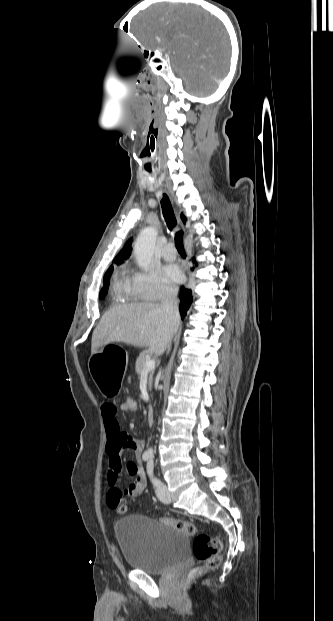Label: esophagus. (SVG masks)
Masks as SVG:
<instances>
[{"label": "esophagus", "instance_id": "esophagus-1", "mask_svg": "<svg viewBox=\"0 0 333 621\" xmlns=\"http://www.w3.org/2000/svg\"><path fill=\"white\" fill-rule=\"evenodd\" d=\"M177 220H178V221H180V218H179V216H178V215H177Z\"/></svg>", "mask_w": 333, "mask_h": 621}]
</instances>
